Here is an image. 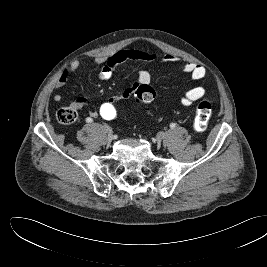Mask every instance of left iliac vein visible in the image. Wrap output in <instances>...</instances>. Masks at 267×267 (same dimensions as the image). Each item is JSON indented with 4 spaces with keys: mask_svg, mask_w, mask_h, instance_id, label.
Listing matches in <instances>:
<instances>
[{
    "mask_svg": "<svg viewBox=\"0 0 267 267\" xmlns=\"http://www.w3.org/2000/svg\"><path fill=\"white\" fill-rule=\"evenodd\" d=\"M167 136V133L166 132H159L157 135H156V138L158 141H162L166 138Z\"/></svg>",
    "mask_w": 267,
    "mask_h": 267,
    "instance_id": "4c4485c4",
    "label": "left iliac vein"
}]
</instances>
